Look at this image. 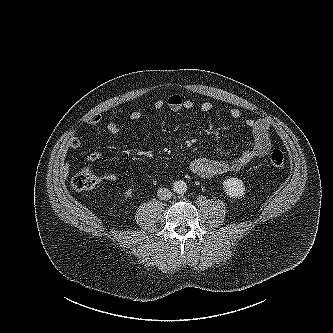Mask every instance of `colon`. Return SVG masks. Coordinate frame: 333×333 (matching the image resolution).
Instances as JSON below:
<instances>
[{"mask_svg": "<svg viewBox=\"0 0 333 333\" xmlns=\"http://www.w3.org/2000/svg\"><path fill=\"white\" fill-rule=\"evenodd\" d=\"M269 164L274 169H283L286 159L282 151L274 150L269 156ZM100 184V179L89 169L84 168L74 174L70 180V185L74 190H90Z\"/></svg>", "mask_w": 333, "mask_h": 333, "instance_id": "colon-1", "label": "colon"}]
</instances>
